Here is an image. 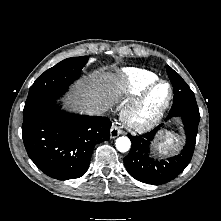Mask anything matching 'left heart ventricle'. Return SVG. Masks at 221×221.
<instances>
[{"mask_svg":"<svg viewBox=\"0 0 221 221\" xmlns=\"http://www.w3.org/2000/svg\"><path fill=\"white\" fill-rule=\"evenodd\" d=\"M167 92H168L167 85L162 84L158 86L153 94V103L161 102L167 95Z\"/></svg>","mask_w":221,"mask_h":221,"instance_id":"left-heart-ventricle-1","label":"left heart ventricle"}]
</instances>
